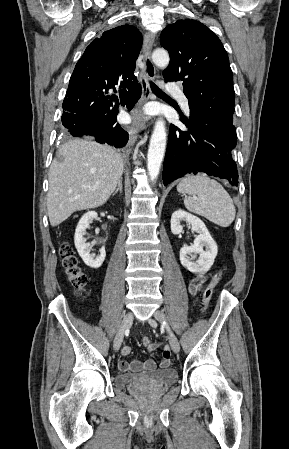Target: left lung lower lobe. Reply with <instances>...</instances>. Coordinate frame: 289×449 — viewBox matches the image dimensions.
<instances>
[{"mask_svg":"<svg viewBox=\"0 0 289 449\" xmlns=\"http://www.w3.org/2000/svg\"><path fill=\"white\" fill-rule=\"evenodd\" d=\"M182 122L188 131L172 124L169 129L164 185L187 173L204 172L237 186L238 170L232 154L237 142L235 126L192 108L190 120L182 117Z\"/></svg>","mask_w":289,"mask_h":449,"instance_id":"left-lung-lower-lobe-1","label":"left lung lower lobe"}]
</instances>
